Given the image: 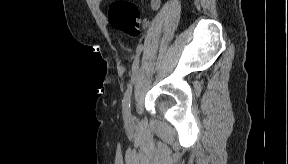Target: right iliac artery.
I'll list each match as a JSON object with an SVG mask.
<instances>
[{"mask_svg": "<svg viewBox=\"0 0 288 164\" xmlns=\"http://www.w3.org/2000/svg\"><path fill=\"white\" fill-rule=\"evenodd\" d=\"M143 50V45H138L136 49V56L135 60L133 62L132 66V77H131V83L129 84L122 101L123 106V116L124 119L127 120L129 114H130V98H131V92H132V84L137 76L138 68H139V56Z\"/></svg>", "mask_w": 288, "mask_h": 164, "instance_id": "82829eb1", "label": "right iliac artery"}]
</instances>
